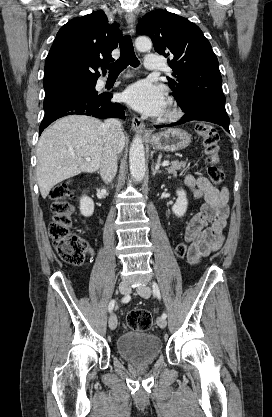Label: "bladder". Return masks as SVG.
Segmentation results:
<instances>
[{"label": "bladder", "mask_w": 272, "mask_h": 417, "mask_svg": "<svg viewBox=\"0 0 272 417\" xmlns=\"http://www.w3.org/2000/svg\"><path fill=\"white\" fill-rule=\"evenodd\" d=\"M119 355L132 364H147L158 358L162 351V341L156 335L130 331L117 340Z\"/></svg>", "instance_id": "31cf9c89"}]
</instances>
